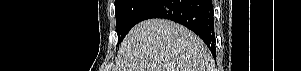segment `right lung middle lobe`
I'll return each instance as SVG.
<instances>
[{"mask_svg":"<svg viewBox=\"0 0 301 71\" xmlns=\"http://www.w3.org/2000/svg\"><path fill=\"white\" fill-rule=\"evenodd\" d=\"M155 0H116V31L120 43L129 30L140 22L142 14Z\"/></svg>","mask_w":301,"mask_h":71,"instance_id":"obj_1","label":"right lung middle lobe"}]
</instances>
